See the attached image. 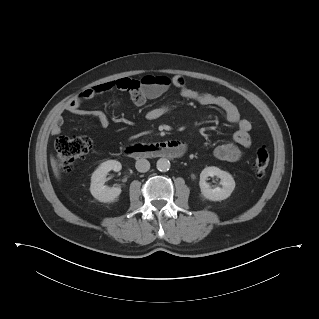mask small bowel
I'll list each match as a JSON object with an SVG mask.
<instances>
[{"mask_svg":"<svg viewBox=\"0 0 319 319\" xmlns=\"http://www.w3.org/2000/svg\"><path fill=\"white\" fill-rule=\"evenodd\" d=\"M127 80V78L119 79L117 81L108 82L86 89L79 96L71 99L66 104L65 111L73 115L93 117L98 121L101 127L106 128L110 124V118L104 111L85 110L82 106L85 102L109 90H123L122 86ZM171 84L174 88L178 89L183 98L192 100L204 106L218 108L224 113L226 120L229 123L236 125V131L233 135V142L218 145L214 149L213 153L217 159L222 161L239 160L243 156L244 150L251 145L250 131L252 129V125L249 120L241 117L240 112L235 104L224 96L201 92L187 86L185 80L181 76H174L172 78ZM162 93H164V91L155 95L137 92L130 94V98L135 105H143L148 99L156 98ZM167 112L168 108L166 106H156L147 111L146 117L150 121H155L163 117ZM61 125L62 121L59 118L52 127L53 135L61 134Z\"/></svg>","mask_w":319,"mask_h":319,"instance_id":"obj_1","label":"small bowel"}]
</instances>
